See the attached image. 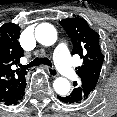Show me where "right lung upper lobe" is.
<instances>
[{"instance_id": "cb5924a9", "label": "right lung upper lobe", "mask_w": 117, "mask_h": 117, "mask_svg": "<svg viewBox=\"0 0 117 117\" xmlns=\"http://www.w3.org/2000/svg\"><path fill=\"white\" fill-rule=\"evenodd\" d=\"M21 28L14 23L0 27V102L13 95L19 84L25 81V70H13L23 56L18 38Z\"/></svg>"}]
</instances>
